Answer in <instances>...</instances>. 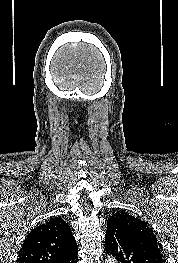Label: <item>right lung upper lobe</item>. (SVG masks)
Listing matches in <instances>:
<instances>
[{
    "label": "right lung upper lobe",
    "mask_w": 178,
    "mask_h": 263,
    "mask_svg": "<svg viewBox=\"0 0 178 263\" xmlns=\"http://www.w3.org/2000/svg\"><path fill=\"white\" fill-rule=\"evenodd\" d=\"M77 250L69 225L56 217L29 232L16 263H65Z\"/></svg>",
    "instance_id": "cb5924a9"
}]
</instances>
